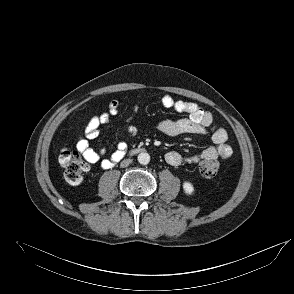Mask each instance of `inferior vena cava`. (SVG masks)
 Wrapping results in <instances>:
<instances>
[{
	"label": "inferior vena cava",
	"mask_w": 294,
	"mask_h": 294,
	"mask_svg": "<svg viewBox=\"0 0 294 294\" xmlns=\"http://www.w3.org/2000/svg\"><path fill=\"white\" fill-rule=\"evenodd\" d=\"M131 162V159H125L121 162V167H127Z\"/></svg>",
	"instance_id": "1"
}]
</instances>
